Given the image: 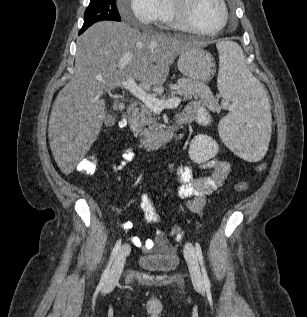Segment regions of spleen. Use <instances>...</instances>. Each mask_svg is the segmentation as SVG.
Here are the masks:
<instances>
[{"mask_svg":"<svg viewBox=\"0 0 307 317\" xmlns=\"http://www.w3.org/2000/svg\"><path fill=\"white\" fill-rule=\"evenodd\" d=\"M214 46L219 52L218 89L234 102L231 113L219 123L220 137L240 160H261L269 155L271 139L272 106L266 88L248 70L234 40H215Z\"/></svg>","mask_w":307,"mask_h":317,"instance_id":"1","label":"spleen"}]
</instances>
